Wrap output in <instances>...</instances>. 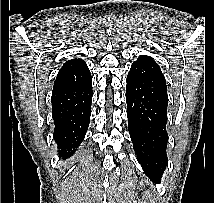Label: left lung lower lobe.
<instances>
[{"mask_svg":"<svg viewBox=\"0 0 214 203\" xmlns=\"http://www.w3.org/2000/svg\"><path fill=\"white\" fill-rule=\"evenodd\" d=\"M128 129L137 159L156 182L167 166L166 81L158 64L146 55L133 62L127 76Z\"/></svg>","mask_w":214,"mask_h":203,"instance_id":"left-lung-lower-lobe-1","label":"left lung lower lobe"}]
</instances>
